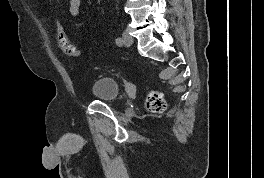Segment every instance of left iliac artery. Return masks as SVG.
<instances>
[{
	"label": "left iliac artery",
	"mask_w": 264,
	"mask_h": 178,
	"mask_svg": "<svg viewBox=\"0 0 264 178\" xmlns=\"http://www.w3.org/2000/svg\"><path fill=\"white\" fill-rule=\"evenodd\" d=\"M115 42L118 46H121L123 44V40L121 37L116 38Z\"/></svg>",
	"instance_id": "obj_1"
}]
</instances>
